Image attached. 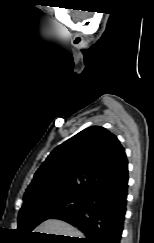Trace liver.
<instances>
[{
	"label": "liver",
	"mask_w": 154,
	"mask_h": 243,
	"mask_svg": "<svg viewBox=\"0 0 154 243\" xmlns=\"http://www.w3.org/2000/svg\"><path fill=\"white\" fill-rule=\"evenodd\" d=\"M34 232L83 238V234L78 229L66 222L56 219L44 221Z\"/></svg>",
	"instance_id": "obj_1"
}]
</instances>
